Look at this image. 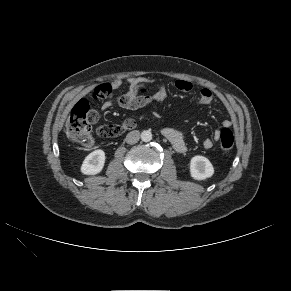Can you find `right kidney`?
I'll return each instance as SVG.
<instances>
[{"label": "right kidney", "instance_id": "1", "mask_svg": "<svg viewBox=\"0 0 291 291\" xmlns=\"http://www.w3.org/2000/svg\"><path fill=\"white\" fill-rule=\"evenodd\" d=\"M105 152L101 149L91 152L83 161L81 172L86 175L100 173L105 163Z\"/></svg>", "mask_w": 291, "mask_h": 291}]
</instances>
